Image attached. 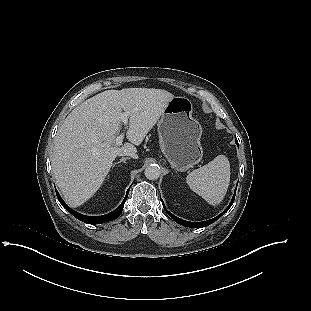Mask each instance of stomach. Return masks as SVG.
Returning <instances> with one entry per match:
<instances>
[{
	"label": "stomach",
	"instance_id": "obj_1",
	"mask_svg": "<svg viewBox=\"0 0 311 311\" xmlns=\"http://www.w3.org/2000/svg\"><path fill=\"white\" fill-rule=\"evenodd\" d=\"M192 110L190 99L176 96L168 102L158 122L161 151L171 167L180 172L198 164L203 157L202 128L192 117Z\"/></svg>",
	"mask_w": 311,
	"mask_h": 311
}]
</instances>
